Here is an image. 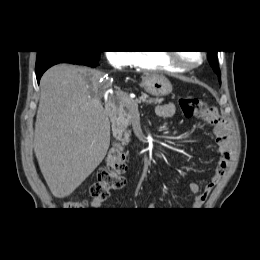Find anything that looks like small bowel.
<instances>
[{
    "label": "small bowel",
    "instance_id": "small-bowel-1",
    "mask_svg": "<svg viewBox=\"0 0 260 260\" xmlns=\"http://www.w3.org/2000/svg\"><path fill=\"white\" fill-rule=\"evenodd\" d=\"M206 113L202 119L213 127L218 145L219 160L214 169V173L206 185L201 188L197 183L191 182L189 189L193 193L192 208H200L210 192L218 184L222 175L224 174L230 160L231 154V138L230 128L224 119L217 113ZM175 113V107L172 103H165L156 107V114L161 118H171ZM106 198H94L91 201V208L93 210H100ZM155 204L151 203L150 208H154Z\"/></svg>",
    "mask_w": 260,
    "mask_h": 260
}]
</instances>
